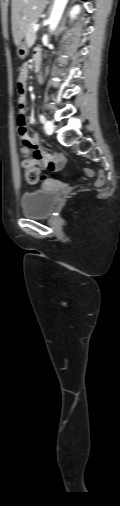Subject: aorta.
<instances>
[{"label": "aorta", "mask_w": 120, "mask_h": 506, "mask_svg": "<svg viewBox=\"0 0 120 506\" xmlns=\"http://www.w3.org/2000/svg\"><path fill=\"white\" fill-rule=\"evenodd\" d=\"M67 2H68V0H55L54 6L52 9L50 18H49V29L51 32H53L56 29V27L62 17V14H63V11L65 9Z\"/></svg>", "instance_id": "1"}]
</instances>
